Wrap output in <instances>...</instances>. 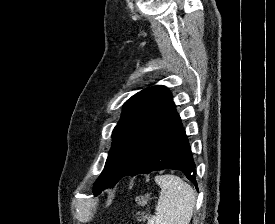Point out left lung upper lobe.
<instances>
[{
    "label": "left lung upper lobe",
    "mask_w": 275,
    "mask_h": 224,
    "mask_svg": "<svg viewBox=\"0 0 275 224\" xmlns=\"http://www.w3.org/2000/svg\"><path fill=\"white\" fill-rule=\"evenodd\" d=\"M175 109L165 86H153L133 95L123 106L122 116L114 128L112 147L94 191L107 178H121L158 125Z\"/></svg>",
    "instance_id": "obj_1"
}]
</instances>
